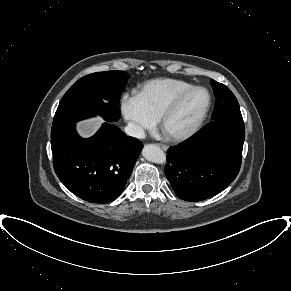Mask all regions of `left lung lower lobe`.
Instances as JSON below:
<instances>
[{
    "instance_id": "obj_1",
    "label": "left lung lower lobe",
    "mask_w": 291,
    "mask_h": 291,
    "mask_svg": "<svg viewBox=\"0 0 291 291\" xmlns=\"http://www.w3.org/2000/svg\"><path fill=\"white\" fill-rule=\"evenodd\" d=\"M243 118L219 117L167 152L165 174L178 198L200 201L224 190L241 167Z\"/></svg>"
}]
</instances>
